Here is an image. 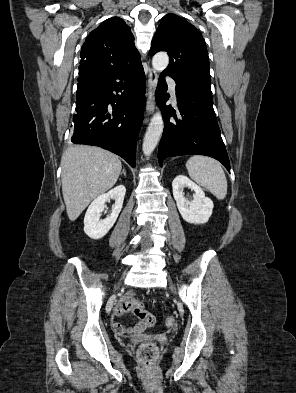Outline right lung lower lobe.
Instances as JSON below:
<instances>
[{
    "label": "right lung lower lobe",
    "mask_w": 296,
    "mask_h": 393,
    "mask_svg": "<svg viewBox=\"0 0 296 393\" xmlns=\"http://www.w3.org/2000/svg\"><path fill=\"white\" fill-rule=\"evenodd\" d=\"M145 88L142 65L120 71L79 67L71 141L107 149L134 168Z\"/></svg>",
    "instance_id": "right-lung-lower-lobe-1"
}]
</instances>
